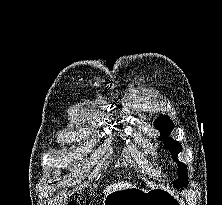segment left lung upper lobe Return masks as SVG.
<instances>
[{
	"label": "left lung upper lobe",
	"instance_id": "1",
	"mask_svg": "<svg viewBox=\"0 0 222 205\" xmlns=\"http://www.w3.org/2000/svg\"><path fill=\"white\" fill-rule=\"evenodd\" d=\"M154 126L161 133L159 140L163 141L165 148L172 152L173 159L178 162L177 155L182 151L181 144L168 137L173 129V122L168 116L164 115L155 120ZM178 175L179 179L173 182L175 187H186L188 182L187 166L184 163L178 162Z\"/></svg>",
	"mask_w": 222,
	"mask_h": 205
}]
</instances>
